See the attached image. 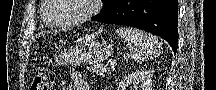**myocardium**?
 Here are the masks:
<instances>
[{
	"label": "myocardium",
	"mask_w": 216,
	"mask_h": 90,
	"mask_svg": "<svg viewBox=\"0 0 216 90\" xmlns=\"http://www.w3.org/2000/svg\"><path fill=\"white\" fill-rule=\"evenodd\" d=\"M48 2H53V8H51V11H47L46 17H41V21L43 24L50 30L53 31H68L71 29H74L76 27H79L80 25L86 23L89 21L98 11V4L101 0H86L83 1V4L86 6V9L84 13L81 15V17L74 23L69 25H52L48 21H50V18H53V15H57V12H60V9H62L63 2L61 0H48Z\"/></svg>",
	"instance_id": "f54148a6"
}]
</instances>
